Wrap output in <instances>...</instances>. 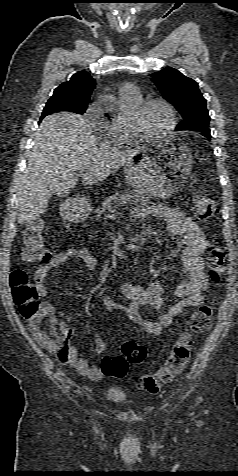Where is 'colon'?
I'll return each instance as SVG.
<instances>
[{
    "mask_svg": "<svg viewBox=\"0 0 238 476\" xmlns=\"http://www.w3.org/2000/svg\"><path fill=\"white\" fill-rule=\"evenodd\" d=\"M193 207L197 218L208 221L216 216V202L204 191L197 190L193 195ZM22 257L27 262L47 261L51 257L50 249L45 241V230L41 223L34 222L24 240ZM228 263L227 249L216 242H209L207 247V266L209 277L213 283H218L223 277ZM13 300L20 315L28 323L35 338L49 351L62 354L68 347L71 330L67 326L44 328L50 316V307L40 301V297L26 272L16 270L10 276ZM212 311L208 306H199L192 314L190 326L195 333H204L211 328ZM193 346V340L188 334L181 335L173 344L163 365L155 372L142 375L138 381L139 389L148 393L158 392L165 384L179 376L185 369ZM146 348L134 341H128L122 346V355L105 356L101 368L106 376L121 378L127 373L128 364H142L146 359Z\"/></svg>",
    "mask_w": 238,
    "mask_h": 476,
    "instance_id": "obj_1",
    "label": "colon"
}]
</instances>
